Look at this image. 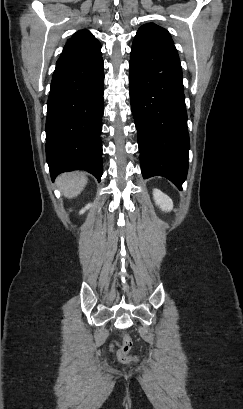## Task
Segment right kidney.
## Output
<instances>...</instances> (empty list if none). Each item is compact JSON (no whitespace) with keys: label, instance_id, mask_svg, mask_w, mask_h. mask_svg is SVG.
<instances>
[{"label":"right kidney","instance_id":"right-kidney-1","mask_svg":"<svg viewBox=\"0 0 243 409\" xmlns=\"http://www.w3.org/2000/svg\"><path fill=\"white\" fill-rule=\"evenodd\" d=\"M90 204H88L84 209H82L81 211H80V214H82V213H84L85 211H86V209H88V208H90Z\"/></svg>","mask_w":243,"mask_h":409}]
</instances>
